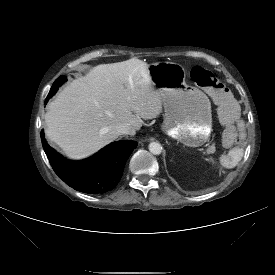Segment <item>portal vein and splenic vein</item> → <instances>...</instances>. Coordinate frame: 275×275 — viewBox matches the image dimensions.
Instances as JSON below:
<instances>
[{
    "instance_id": "18ae733b",
    "label": "portal vein and splenic vein",
    "mask_w": 275,
    "mask_h": 275,
    "mask_svg": "<svg viewBox=\"0 0 275 275\" xmlns=\"http://www.w3.org/2000/svg\"><path fill=\"white\" fill-rule=\"evenodd\" d=\"M214 152V148L213 147H210L208 150H207V153H213Z\"/></svg>"
}]
</instances>
